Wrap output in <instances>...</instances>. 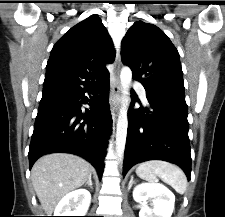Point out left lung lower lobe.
I'll use <instances>...</instances> for the list:
<instances>
[{
    "label": "left lung lower lobe",
    "mask_w": 225,
    "mask_h": 217,
    "mask_svg": "<svg viewBox=\"0 0 225 217\" xmlns=\"http://www.w3.org/2000/svg\"><path fill=\"white\" fill-rule=\"evenodd\" d=\"M146 97L150 109L128 111L123 176L137 163L158 159L177 164L190 180L191 155L185 97L150 93H146Z\"/></svg>",
    "instance_id": "1"
}]
</instances>
